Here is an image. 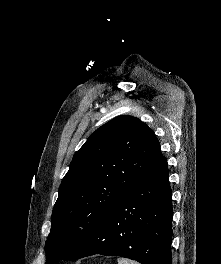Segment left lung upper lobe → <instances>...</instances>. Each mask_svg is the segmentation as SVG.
Here are the masks:
<instances>
[{
    "mask_svg": "<svg viewBox=\"0 0 221 264\" xmlns=\"http://www.w3.org/2000/svg\"><path fill=\"white\" fill-rule=\"evenodd\" d=\"M154 132L132 116L97 129L74 154L63 178L45 243L46 264L73 252L162 158Z\"/></svg>",
    "mask_w": 221,
    "mask_h": 264,
    "instance_id": "obj_1",
    "label": "left lung upper lobe"
}]
</instances>
